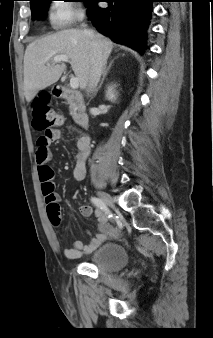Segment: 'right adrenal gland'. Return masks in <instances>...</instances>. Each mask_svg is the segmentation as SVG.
Returning a JSON list of instances; mask_svg holds the SVG:
<instances>
[{"label": "right adrenal gland", "mask_w": 213, "mask_h": 338, "mask_svg": "<svg viewBox=\"0 0 213 338\" xmlns=\"http://www.w3.org/2000/svg\"><path fill=\"white\" fill-rule=\"evenodd\" d=\"M113 61L110 62L109 66L105 65L104 69H103V75H102V79L99 83V85L94 89L93 91V96H96L97 92L100 90V88L102 87L103 81L105 80V77L107 76L111 66H112Z\"/></svg>", "instance_id": "obj_1"}]
</instances>
